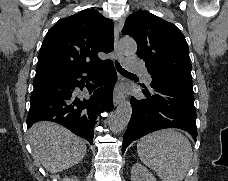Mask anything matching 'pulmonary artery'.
<instances>
[{
    "label": "pulmonary artery",
    "mask_w": 228,
    "mask_h": 181,
    "mask_svg": "<svg viewBox=\"0 0 228 181\" xmlns=\"http://www.w3.org/2000/svg\"><path fill=\"white\" fill-rule=\"evenodd\" d=\"M126 61L124 63V66L126 67V71H145L146 67L145 66H131L130 62H136L137 58L136 57H127Z\"/></svg>",
    "instance_id": "pulmonary-artery-1"
}]
</instances>
